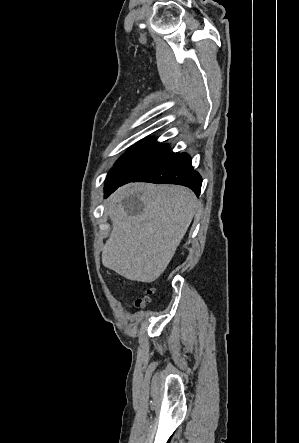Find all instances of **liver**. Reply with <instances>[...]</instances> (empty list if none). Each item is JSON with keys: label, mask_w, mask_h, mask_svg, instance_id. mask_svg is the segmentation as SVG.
<instances>
[{"label": "liver", "mask_w": 299, "mask_h": 443, "mask_svg": "<svg viewBox=\"0 0 299 443\" xmlns=\"http://www.w3.org/2000/svg\"><path fill=\"white\" fill-rule=\"evenodd\" d=\"M197 199L176 185L132 184L109 201L112 231L102 261L128 280L153 282L167 268L196 210Z\"/></svg>", "instance_id": "6515ba94"}]
</instances>
